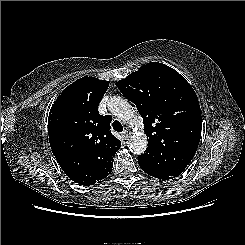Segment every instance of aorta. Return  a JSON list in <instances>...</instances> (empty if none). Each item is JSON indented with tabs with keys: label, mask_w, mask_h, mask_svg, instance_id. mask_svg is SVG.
Returning <instances> with one entry per match:
<instances>
[{
	"label": "aorta",
	"mask_w": 245,
	"mask_h": 245,
	"mask_svg": "<svg viewBox=\"0 0 245 245\" xmlns=\"http://www.w3.org/2000/svg\"><path fill=\"white\" fill-rule=\"evenodd\" d=\"M109 111L129 124L130 126H142V118L133 110L132 105L124 98L113 96L108 102ZM147 137L143 132L134 133L129 141V150L134 154H142L147 148Z\"/></svg>",
	"instance_id": "aorta-1"
}]
</instances>
